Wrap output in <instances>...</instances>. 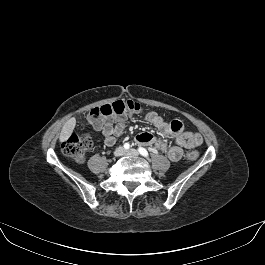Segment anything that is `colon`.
Wrapping results in <instances>:
<instances>
[{
  "mask_svg": "<svg viewBox=\"0 0 265 265\" xmlns=\"http://www.w3.org/2000/svg\"><path fill=\"white\" fill-rule=\"evenodd\" d=\"M144 107L133 100H117L113 103L104 104L93 108L88 114V121L93 126L102 125L105 120L112 117H122L132 113H140ZM92 146V139L88 134L69 136L62 144L63 153L76 162H83L87 152ZM197 150H190L186 154L188 161H194L198 158Z\"/></svg>",
  "mask_w": 265,
  "mask_h": 265,
  "instance_id": "1",
  "label": "colon"
}]
</instances>
